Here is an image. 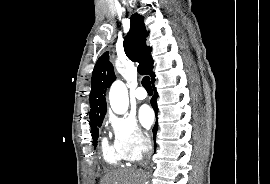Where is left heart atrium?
Returning <instances> with one entry per match:
<instances>
[{"instance_id":"left-heart-atrium-1","label":"left heart atrium","mask_w":270,"mask_h":184,"mask_svg":"<svg viewBox=\"0 0 270 184\" xmlns=\"http://www.w3.org/2000/svg\"><path fill=\"white\" fill-rule=\"evenodd\" d=\"M154 115L150 107L144 105L139 110V120L143 127L149 128L153 123Z\"/></svg>"}]
</instances>
